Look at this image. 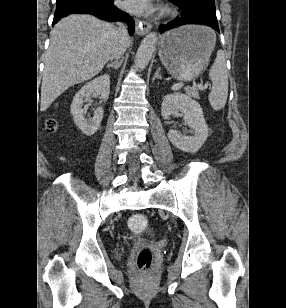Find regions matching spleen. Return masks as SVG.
Returning <instances> with one entry per match:
<instances>
[{
    "label": "spleen",
    "instance_id": "1",
    "mask_svg": "<svg viewBox=\"0 0 286 308\" xmlns=\"http://www.w3.org/2000/svg\"><path fill=\"white\" fill-rule=\"evenodd\" d=\"M212 89L208 99L213 110L218 111L225 107L228 96V73L225 55L222 50L217 52L216 59L209 70Z\"/></svg>",
    "mask_w": 286,
    "mask_h": 308
}]
</instances>
